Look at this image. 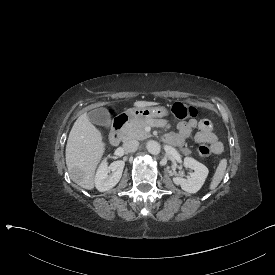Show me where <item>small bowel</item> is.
I'll list each match as a JSON object with an SVG mask.
<instances>
[{
    "mask_svg": "<svg viewBox=\"0 0 275 275\" xmlns=\"http://www.w3.org/2000/svg\"><path fill=\"white\" fill-rule=\"evenodd\" d=\"M193 129H197L195 140L198 143H208L211 145L215 154H220L223 151V145L212 132V123L208 119H203L200 122L191 120L189 122H180L178 124V134L171 137L172 141H182Z\"/></svg>",
    "mask_w": 275,
    "mask_h": 275,
    "instance_id": "small-bowel-1",
    "label": "small bowel"
}]
</instances>
